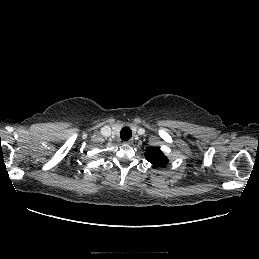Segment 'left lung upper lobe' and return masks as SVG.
I'll list each match as a JSON object with an SVG mask.
<instances>
[{"instance_id": "1", "label": "left lung upper lobe", "mask_w": 259, "mask_h": 259, "mask_svg": "<svg viewBox=\"0 0 259 259\" xmlns=\"http://www.w3.org/2000/svg\"><path fill=\"white\" fill-rule=\"evenodd\" d=\"M145 157L150 163L156 166H164L168 162V159L166 158V156L157 147L148 149L145 153Z\"/></svg>"}]
</instances>
